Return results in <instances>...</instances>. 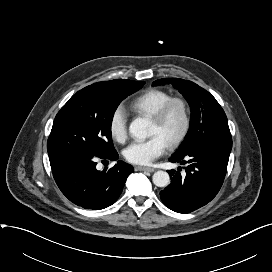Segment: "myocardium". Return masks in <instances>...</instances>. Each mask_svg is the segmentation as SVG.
I'll use <instances>...</instances> for the list:
<instances>
[{"instance_id": "obj_1", "label": "myocardium", "mask_w": 272, "mask_h": 272, "mask_svg": "<svg viewBox=\"0 0 272 272\" xmlns=\"http://www.w3.org/2000/svg\"><path fill=\"white\" fill-rule=\"evenodd\" d=\"M174 106H178L181 109L183 124L177 136L168 143L170 149H174L181 145L190 132L192 119L188 102L181 97H171L150 116L152 121L160 123Z\"/></svg>"}]
</instances>
